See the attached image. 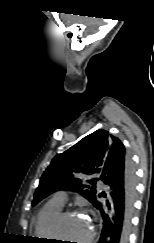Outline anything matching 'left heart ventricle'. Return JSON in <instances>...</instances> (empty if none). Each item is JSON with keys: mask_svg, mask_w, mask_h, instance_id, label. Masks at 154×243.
<instances>
[{"mask_svg": "<svg viewBox=\"0 0 154 243\" xmlns=\"http://www.w3.org/2000/svg\"><path fill=\"white\" fill-rule=\"evenodd\" d=\"M91 230V224L86 217L76 214L66 217L59 227L58 235L65 239L64 243H70L77 240V243H83Z\"/></svg>", "mask_w": 154, "mask_h": 243, "instance_id": "1", "label": "left heart ventricle"}]
</instances>
